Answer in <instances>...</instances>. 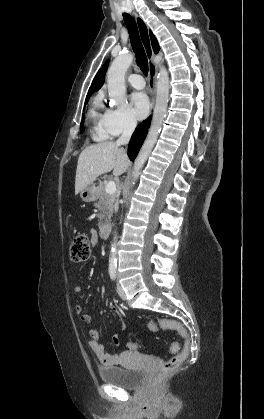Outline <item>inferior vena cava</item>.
<instances>
[{
    "instance_id": "602c4592",
    "label": "inferior vena cava",
    "mask_w": 264,
    "mask_h": 419,
    "mask_svg": "<svg viewBox=\"0 0 264 419\" xmlns=\"http://www.w3.org/2000/svg\"><path fill=\"white\" fill-rule=\"evenodd\" d=\"M137 122L134 118H129L125 125H124V129L122 132V135L118 138V140L116 141V144L118 146L121 145H126L129 143V140L131 138L132 133L134 132L135 128H136ZM116 210H118V207H116Z\"/></svg>"
}]
</instances>
